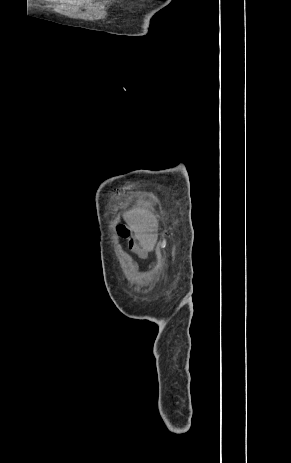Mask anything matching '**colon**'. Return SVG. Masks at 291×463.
<instances>
[{"instance_id": "5ec220e1", "label": "colon", "mask_w": 291, "mask_h": 463, "mask_svg": "<svg viewBox=\"0 0 291 463\" xmlns=\"http://www.w3.org/2000/svg\"><path fill=\"white\" fill-rule=\"evenodd\" d=\"M117 230H118L119 235L122 237L128 234V230L124 225H119Z\"/></svg>"}]
</instances>
